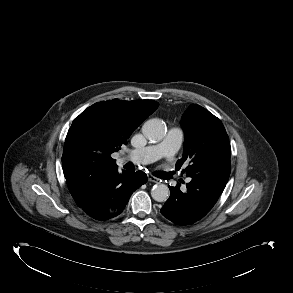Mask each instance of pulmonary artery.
I'll return each instance as SVG.
<instances>
[{"label":"pulmonary artery","instance_id":"1","mask_svg":"<svg viewBox=\"0 0 293 293\" xmlns=\"http://www.w3.org/2000/svg\"><path fill=\"white\" fill-rule=\"evenodd\" d=\"M183 140V131L178 127L169 129L162 142L142 149L134 150L128 159L137 164H148L161 158L172 160L179 150Z\"/></svg>","mask_w":293,"mask_h":293}]
</instances>
